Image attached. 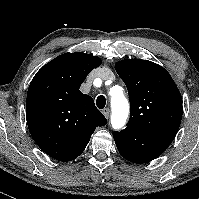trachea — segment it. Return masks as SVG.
<instances>
[{"label": "trachea", "instance_id": "1", "mask_svg": "<svg viewBox=\"0 0 199 199\" xmlns=\"http://www.w3.org/2000/svg\"><path fill=\"white\" fill-rule=\"evenodd\" d=\"M96 105L99 109H103L106 105V98L103 95L97 97Z\"/></svg>", "mask_w": 199, "mask_h": 199}]
</instances>
